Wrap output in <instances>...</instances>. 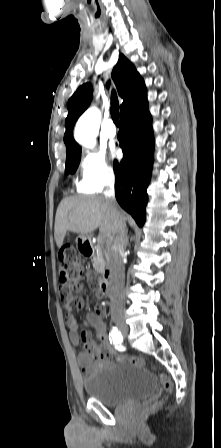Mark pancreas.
<instances>
[{
  "instance_id": "1",
  "label": "pancreas",
  "mask_w": 221,
  "mask_h": 448,
  "mask_svg": "<svg viewBox=\"0 0 221 448\" xmlns=\"http://www.w3.org/2000/svg\"><path fill=\"white\" fill-rule=\"evenodd\" d=\"M108 261V253L105 248L98 245L96 247V255L93 258V266L96 270H103Z\"/></svg>"
}]
</instances>
